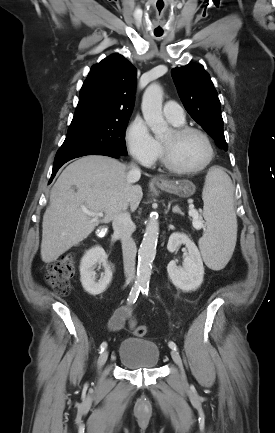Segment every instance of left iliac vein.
Segmentation results:
<instances>
[{"label": "left iliac vein", "mask_w": 275, "mask_h": 433, "mask_svg": "<svg viewBox=\"0 0 275 433\" xmlns=\"http://www.w3.org/2000/svg\"><path fill=\"white\" fill-rule=\"evenodd\" d=\"M171 357L173 359V361L179 366V368L182 371V376L185 377L184 375V371H183V365H182V360L180 355L178 354V352L176 350H172L171 351Z\"/></svg>", "instance_id": "obj_1"}]
</instances>
